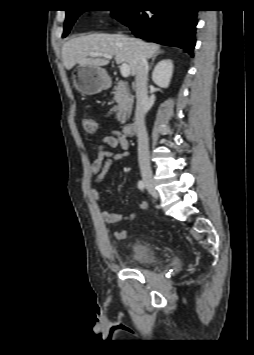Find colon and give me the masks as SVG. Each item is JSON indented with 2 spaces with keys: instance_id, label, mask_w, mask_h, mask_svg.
<instances>
[{
  "instance_id": "1",
  "label": "colon",
  "mask_w": 254,
  "mask_h": 355,
  "mask_svg": "<svg viewBox=\"0 0 254 355\" xmlns=\"http://www.w3.org/2000/svg\"><path fill=\"white\" fill-rule=\"evenodd\" d=\"M82 127L86 134L94 135L98 130L97 122L93 118L85 117L82 120Z\"/></svg>"
}]
</instances>
